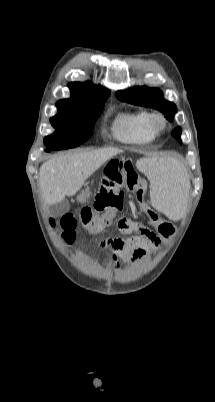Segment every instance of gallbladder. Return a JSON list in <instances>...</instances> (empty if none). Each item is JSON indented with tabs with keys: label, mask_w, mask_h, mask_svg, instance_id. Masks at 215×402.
<instances>
[{
	"label": "gallbladder",
	"mask_w": 215,
	"mask_h": 402,
	"mask_svg": "<svg viewBox=\"0 0 215 402\" xmlns=\"http://www.w3.org/2000/svg\"><path fill=\"white\" fill-rule=\"evenodd\" d=\"M51 212L56 216H61L69 209V203L67 200H62L56 204L50 205Z\"/></svg>",
	"instance_id": "obj_1"
}]
</instances>
